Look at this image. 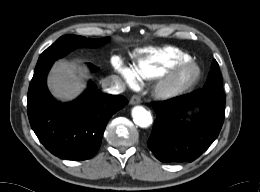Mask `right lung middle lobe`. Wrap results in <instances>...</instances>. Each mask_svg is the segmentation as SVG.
<instances>
[{"instance_id": "right-lung-middle-lobe-1", "label": "right lung middle lobe", "mask_w": 260, "mask_h": 192, "mask_svg": "<svg viewBox=\"0 0 260 192\" xmlns=\"http://www.w3.org/2000/svg\"><path fill=\"white\" fill-rule=\"evenodd\" d=\"M107 40L108 38L89 39L83 36H77L73 34L64 35L41 54V56L38 59L36 68H39L44 64L54 62L55 60L64 57L75 48L98 47L103 45Z\"/></svg>"}]
</instances>
